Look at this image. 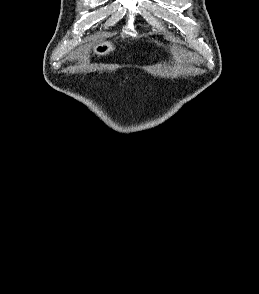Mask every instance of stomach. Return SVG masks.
<instances>
[{
  "label": "stomach",
  "mask_w": 259,
  "mask_h": 294,
  "mask_svg": "<svg viewBox=\"0 0 259 294\" xmlns=\"http://www.w3.org/2000/svg\"><path fill=\"white\" fill-rule=\"evenodd\" d=\"M92 50L97 55H106L115 50V45L111 41H100L92 46Z\"/></svg>",
  "instance_id": "obj_1"
}]
</instances>
